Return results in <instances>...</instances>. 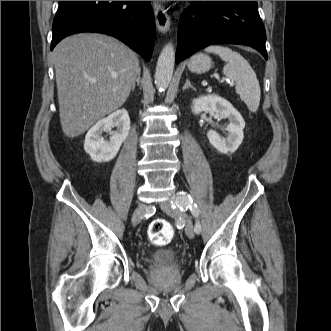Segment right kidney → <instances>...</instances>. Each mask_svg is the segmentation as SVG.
Returning a JSON list of instances; mask_svg holds the SVG:
<instances>
[{
    "label": "right kidney",
    "instance_id": "1",
    "mask_svg": "<svg viewBox=\"0 0 331 331\" xmlns=\"http://www.w3.org/2000/svg\"><path fill=\"white\" fill-rule=\"evenodd\" d=\"M113 127H116L117 130L112 133L109 141H105L102 133L110 131ZM129 130L128 112L125 109L117 110L90 128L85 137L84 149L95 162L111 161L126 140Z\"/></svg>",
    "mask_w": 331,
    "mask_h": 331
}]
</instances>
